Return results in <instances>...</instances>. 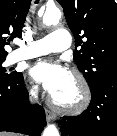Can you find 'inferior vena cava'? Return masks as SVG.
<instances>
[{
  "label": "inferior vena cava",
  "instance_id": "602c4592",
  "mask_svg": "<svg viewBox=\"0 0 117 136\" xmlns=\"http://www.w3.org/2000/svg\"><path fill=\"white\" fill-rule=\"evenodd\" d=\"M36 93H37V91H36V90H34V91L32 92V94H33V95H36Z\"/></svg>",
  "mask_w": 117,
  "mask_h": 136
}]
</instances>
